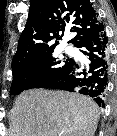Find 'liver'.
I'll use <instances>...</instances> for the list:
<instances>
[{
	"mask_svg": "<svg viewBox=\"0 0 117 136\" xmlns=\"http://www.w3.org/2000/svg\"><path fill=\"white\" fill-rule=\"evenodd\" d=\"M100 116L89 97L32 89L21 93L9 113V136H94Z\"/></svg>",
	"mask_w": 117,
	"mask_h": 136,
	"instance_id": "liver-1",
	"label": "liver"
}]
</instances>
